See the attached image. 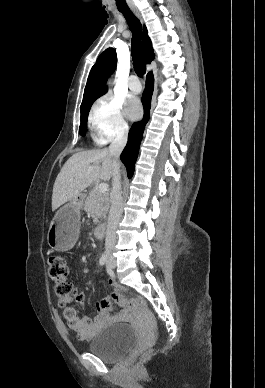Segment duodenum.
<instances>
[{
  "instance_id": "duodenum-1",
  "label": "duodenum",
  "mask_w": 265,
  "mask_h": 388,
  "mask_svg": "<svg viewBox=\"0 0 265 388\" xmlns=\"http://www.w3.org/2000/svg\"><path fill=\"white\" fill-rule=\"evenodd\" d=\"M106 231V224L105 223H100L96 228H95V235L97 238H102L105 234Z\"/></svg>"
}]
</instances>
